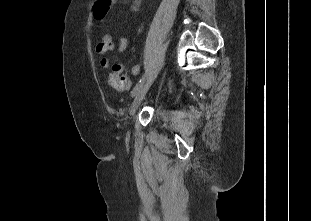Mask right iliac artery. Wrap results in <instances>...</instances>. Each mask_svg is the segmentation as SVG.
<instances>
[{
    "label": "right iliac artery",
    "instance_id": "obj_1",
    "mask_svg": "<svg viewBox=\"0 0 311 221\" xmlns=\"http://www.w3.org/2000/svg\"><path fill=\"white\" fill-rule=\"evenodd\" d=\"M143 79L144 78L140 79V81L133 88V90L131 91V97H134L136 95V93L138 92V90L141 88V86L143 84Z\"/></svg>",
    "mask_w": 311,
    "mask_h": 221
}]
</instances>
